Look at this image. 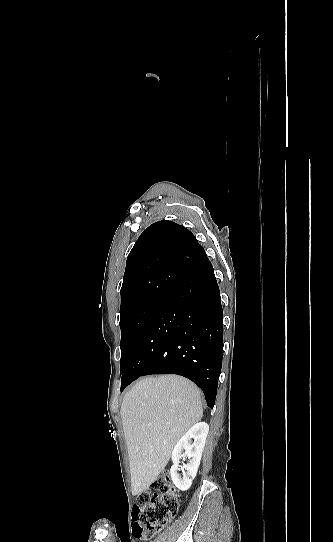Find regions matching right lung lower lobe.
<instances>
[{
	"label": "right lung lower lobe",
	"instance_id": "98d812e1",
	"mask_svg": "<svg viewBox=\"0 0 333 542\" xmlns=\"http://www.w3.org/2000/svg\"><path fill=\"white\" fill-rule=\"evenodd\" d=\"M164 264L186 276L153 311L121 378V391L140 376L178 374L196 383L213 408L223 354L219 287L204 249L160 252Z\"/></svg>",
	"mask_w": 333,
	"mask_h": 542
}]
</instances>
